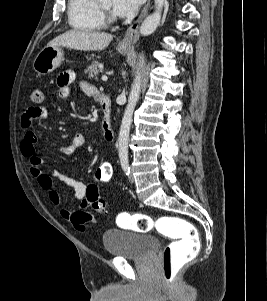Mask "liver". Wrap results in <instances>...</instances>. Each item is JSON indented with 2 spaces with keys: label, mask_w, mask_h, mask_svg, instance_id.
Returning a JSON list of instances; mask_svg holds the SVG:
<instances>
[{
  "label": "liver",
  "mask_w": 267,
  "mask_h": 301,
  "mask_svg": "<svg viewBox=\"0 0 267 301\" xmlns=\"http://www.w3.org/2000/svg\"><path fill=\"white\" fill-rule=\"evenodd\" d=\"M112 39L111 34L73 29L57 36L47 46H64L81 51H99L105 49Z\"/></svg>",
  "instance_id": "liver-1"
}]
</instances>
